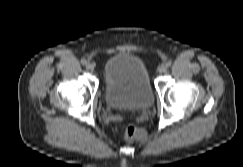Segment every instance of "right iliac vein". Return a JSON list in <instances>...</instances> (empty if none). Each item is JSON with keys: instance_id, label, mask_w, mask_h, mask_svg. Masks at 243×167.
<instances>
[{"instance_id": "1", "label": "right iliac vein", "mask_w": 243, "mask_h": 167, "mask_svg": "<svg viewBox=\"0 0 243 167\" xmlns=\"http://www.w3.org/2000/svg\"><path fill=\"white\" fill-rule=\"evenodd\" d=\"M86 68L89 70V71H93L94 70V65L92 63H87L86 64Z\"/></svg>"}]
</instances>
